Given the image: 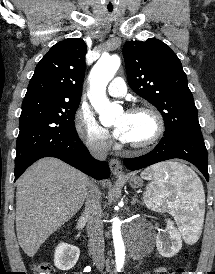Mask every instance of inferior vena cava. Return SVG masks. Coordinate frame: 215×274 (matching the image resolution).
Returning a JSON list of instances; mask_svg holds the SVG:
<instances>
[{
    "label": "inferior vena cava",
    "mask_w": 215,
    "mask_h": 274,
    "mask_svg": "<svg viewBox=\"0 0 215 274\" xmlns=\"http://www.w3.org/2000/svg\"><path fill=\"white\" fill-rule=\"evenodd\" d=\"M91 154L99 160H105L108 145L103 139H93L89 143ZM101 192L96 185L91 184L86 193V203L83 217L87 220V233L90 242L94 265L103 269L105 264V242L103 236V221L101 209Z\"/></svg>",
    "instance_id": "obj_1"
}]
</instances>
